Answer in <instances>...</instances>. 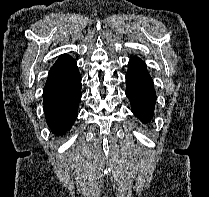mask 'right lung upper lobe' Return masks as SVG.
<instances>
[{
  "label": "right lung upper lobe",
  "instance_id": "cb5924a9",
  "mask_svg": "<svg viewBox=\"0 0 209 197\" xmlns=\"http://www.w3.org/2000/svg\"><path fill=\"white\" fill-rule=\"evenodd\" d=\"M64 56H65V54H64V55H62V56H60V57H59V59H60V58H62V57H64ZM59 59H58V60H59Z\"/></svg>",
  "mask_w": 209,
  "mask_h": 197
}]
</instances>
